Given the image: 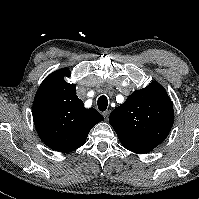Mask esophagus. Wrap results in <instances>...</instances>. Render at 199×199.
I'll list each match as a JSON object with an SVG mask.
<instances>
[{"label": "esophagus", "mask_w": 199, "mask_h": 199, "mask_svg": "<svg viewBox=\"0 0 199 199\" xmlns=\"http://www.w3.org/2000/svg\"><path fill=\"white\" fill-rule=\"evenodd\" d=\"M109 114H110L109 110H106L105 112H103V115H104L105 119H108Z\"/></svg>", "instance_id": "esophagus-1"}]
</instances>
